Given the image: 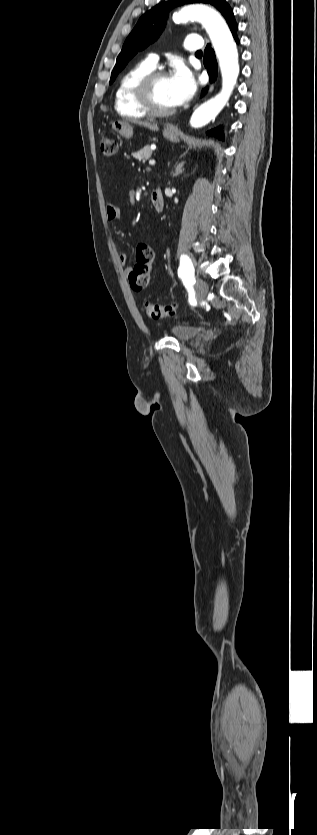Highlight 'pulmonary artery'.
<instances>
[{
	"instance_id": "1",
	"label": "pulmonary artery",
	"mask_w": 317,
	"mask_h": 835,
	"mask_svg": "<svg viewBox=\"0 0 317 835\" xmlns=\"http://www.w3.org/2000/svg\"><path fill=\"white\" fill-rule=\"evenodd\" d=\"M202 46H203V44H202L201 37L198 36V35H189V36L186 37L185 42H184V48L187 51H191V52L200 51ZM147 62L149 63V65H151L153 68H155L156 65H157V62H158L157 55L150 54L148 59H147Z\"/></svg>"
}]
</instances>
